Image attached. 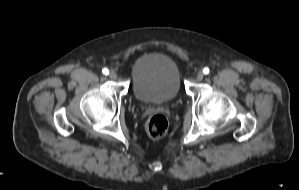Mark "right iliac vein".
<instances>
[{"instance_id": "right-iliac-vein-1", "label": "right iliac vein", "mask_w": 299, "mask_h": 190, "mask_svg": "<svg viewBox=\"0 0 299 190\" xmlns=\"http://www.w3.org/2000/svg\"><path fill=\"white\" fill-rule=\"evenodd\" d=\"M109 77L111 79H116L117 78V73L114 70H111L109 73Z\"/></svg>"}]
</instances>
